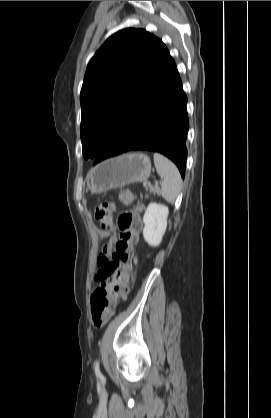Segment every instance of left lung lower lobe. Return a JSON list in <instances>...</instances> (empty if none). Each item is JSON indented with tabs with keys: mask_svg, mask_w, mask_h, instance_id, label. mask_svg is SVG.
Returning a JSON list of instances; mask_svg holds the SVG:
<instances>
[{
	"mask_svg": "<svg viewBox=\"0 0 271 418\" xmlns=\"http://www.w3.org/2000/svg\"><path fill=\"white\" fill-rule=\"evenodd\" d=\"M186 104L176 64L170 57L94 164L128 151L148 150L170 158L184 178L189 129Z\"/></svg>",
	"mask_w": 271,
	"mask_h": 418,
	"instance_id": "0a47b994",
	"label": "left lung lower lobe"
}]
</instances>
